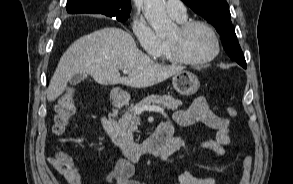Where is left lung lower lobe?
<instances>
[{"label": "left lung lower lobe", "instance_id": "left-lung-lower-lobe-1", "mask_svg": "<svg viewBox=\"0 0 293 184\" xmlns=\"http://www.w3.org/2000/svg\"><path fill=\"white\" fill-rule=\"evenodd\" d=\"M239 65H241L243 68L246 69V64H239Z\"/></svg>", "mask_w": 293, "mask_h": 184}]
</instances>
